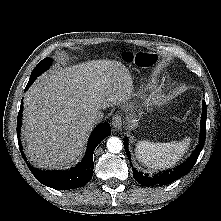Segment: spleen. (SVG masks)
Wrapping results in <instances>:
<instances>
[{"label": "spleen", "instance_id": "1", "mask_svg": "<svg viewBox=\"0 0 221 221\" xmlns=\"http://www.w3.org/2000/svg\"><path fill=\"white\" fill-rule=\"evenodd\" d=\"M190 138L167 143L139 141L136 143L135 155L139 162L148 168L165 170L174 166L188 150Z\"/></svg>", "mask_w": 221, "mask_h": 221}]
</instances>
